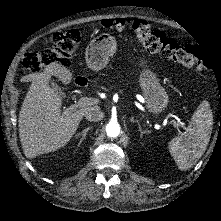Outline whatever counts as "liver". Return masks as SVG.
<instances>
[{
    "label": "liver",
    "mask_w": 221,
    "mask_h": 221,
    "mask_svg": "<svg viewBox=\"0 0 221 221\" xmlns=\"http://www.w3.org/2000/svg\"><path fill=\"white\" fill-rule=\"evenodd\" d=\"M57 75L70 82V74L55 63L29 80L30 85L20 106L19 137L27 157L54 150L65 144L91 106L73 113L61 112L62 101L48 87L49 77ZM97 108V107H96Z\"/></svg>",
    "instance_id": "liver-1"
}]
</instances>
